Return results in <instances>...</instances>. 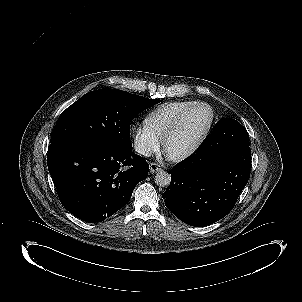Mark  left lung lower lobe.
Returning a JSON list of instances; mask_svg holds the SVG:
<instances>
[{"instance_id": "obj_1", "label": "left lung lower lobe", "mask_w": 302, "mask_h": 302, "mask_svg": "<svg viewBox=\"0 0 302 302\" xmlns=\"http://www.w3.org/2000/svg\"><path fill=\"white\" fill-rule=\"evenodd\" d=\"M250 164V147L231 153L199 149L171 169V183L162 195L165 205L188 225H210L233 209L249 180Z\"/></svg>"}]
</instances>
